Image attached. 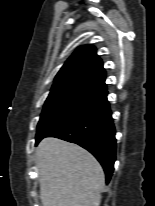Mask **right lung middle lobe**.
<instances>
[{
  "label": "right lung middle lobe",
  "instance_id": "obj_1",
  "mask_svg": "<svg viewBox=\"0 0 155 206\" xmlns=\"http://www.w3.org/2000/svg\"><path fill=\"white\" fill-rule=\"evenodd\" d=\"M106 95L85 87L51 90L37 126L36 140L91 110Z\"/></svg>",
  "mask_w": 155,
  "mask_h": 206
}]
</instances>
